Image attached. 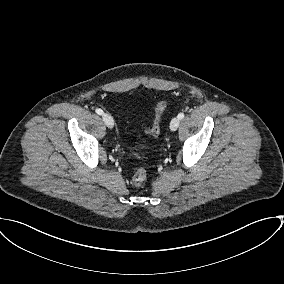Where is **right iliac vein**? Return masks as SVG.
I'll use <instances>...</instances> for the list:
<instances>
[{"label": "right iliac vein", "mask_w": 284, "mask_h": 284, "mask_svg": "<svg viewBox=\"0 0 284 284\" xmlns=\"http://www.w3.org/2000/svg\"><path fill=\"white\" fill-rule=\"evenodd\" d=\"M102 119H103L105 125H106L108 128H113V126H114V120H113V118H112L109 114L104 113V114L102 115Z\"/></svg>", "instance_id": "obj_1"}]
</instances>
